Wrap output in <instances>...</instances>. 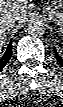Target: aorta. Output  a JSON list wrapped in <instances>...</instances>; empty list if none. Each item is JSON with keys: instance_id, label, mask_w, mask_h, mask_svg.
<instances>
[{"instance_id": "762f6f07", "label": "aorta", "mask_w": 63, "mask_h": 107, "mask_svg": "<svg viewBox=\"0 0 63 107\" xmlns=\"http://www.w3.org/2000/svg\"><path fill=\"white\" fill-rule=\"evenodd\" d=\"M27 32L33 37H40L45 33L43 21L33 19L28 23Z\"/></svg>"}]
</instances>
